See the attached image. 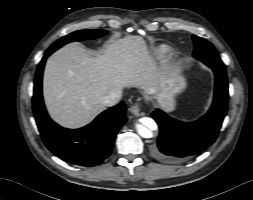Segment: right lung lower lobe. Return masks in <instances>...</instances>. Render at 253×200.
Instances as JSON below:
<instances>
[{"label": "right lung lower lobe", "mask_w": 253, "mask_h": 200, "mask_svg": "<svg viewBox=\"0 0 253 200\" xmlns=\"http://www.w3.org/2000/svg\"><path fill=\"white\" fill-rule=\"evenodd\" d=\"M54 51L45 52L34 81L33 112L42 140L54 155L66 162L80 166L99 165L110 155L116 134L127 121L126 106L121 102L77 130L65 129L53 122L43 103L42 75L46 59Z\"/></svg>", "instance_id": "98d812e1"}]
</instances>
